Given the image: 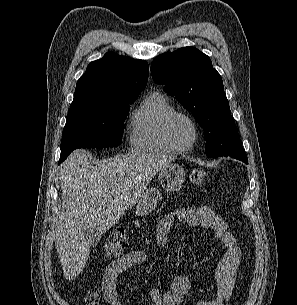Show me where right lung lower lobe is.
Masks as SVG:
<instances>
[{
    "mask_svg": "<svg viewBox=\"0 0 297 305\" xmlns=\"http://www.w3.org/2000/svg\"><path fill=\"white\" fill-rule=\"evenodd\" d=\"M64 160H65L64 157H61V156H60L59 164H60L61 162H63Z\"/></svg>",
    "mask_w": 297,
    "mask_h": 305,
    "instance_id": "obj_1",
    "label": "right lung lower lobe"
}]
</instances>
